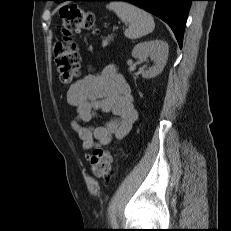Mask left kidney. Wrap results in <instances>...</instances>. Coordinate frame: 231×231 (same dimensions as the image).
<instances>
[{"label":"left kidney","mask_w":231,"mask_h":231,"mask_svg":"<svg viewBox=\"0 0 231 231\" xmlns=\"http://www.w3.org/2000/svg\"><path fill=\"white\" fill-rule=\"evenodd\" d=\"M169 47L165 41L153 40L137 44L132 50V57L143 59L150 57L154 61V66L142 73L144 78H153L160 74L166 65Z\"/></svg>","instance_id":"1"}]
</instances>
